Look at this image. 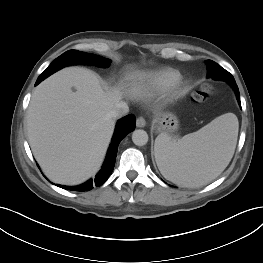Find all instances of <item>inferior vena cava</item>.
<instances>
[{
	"mask_svg": "<svg viewBox=\"0 0 263 263\" xmlns=\"http://www.w3.org/2000/svg\"><path fill=\"white\" fill-rule=\"evenodd\" d=\"M129 112V107L127 103L125 102H120L118 103L111 111L110 115L112 118H121Z\"/></svg>",
	"mask_w": 263,
	"mask_h": 263,
	"instance_id": "obj_1",
	"label": "inferior vena cava"
}]
</instances>
